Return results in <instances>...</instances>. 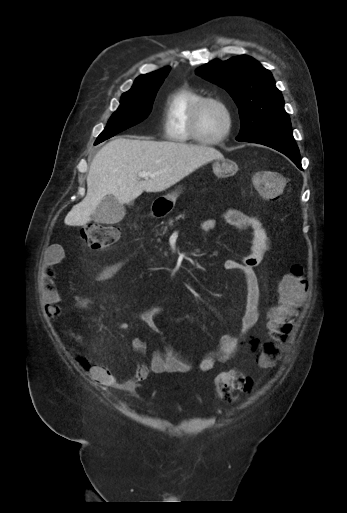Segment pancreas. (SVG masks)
Here are the masks:
<instances>
[{
  "instance_id": "cf45deb5",
  "label": "pancreas",
  "mask_w": 347,
  "mask_h": 513,
  "mask_svg": "<svg viewBox=\"0 0 347 513\" xmlns=\"http://www.w3.org/2000/svg\"><path fill=\"white\" fill-rule=\"evenodd\" d=\"M184 218H185L184 214H180L175 218H169V220L167 221V225L163 228V232L167 231L168 226L172 227L175 222H178L180 219H184Z\"/></svg>"
}]
</instances>
